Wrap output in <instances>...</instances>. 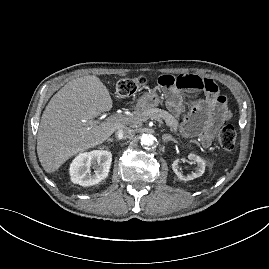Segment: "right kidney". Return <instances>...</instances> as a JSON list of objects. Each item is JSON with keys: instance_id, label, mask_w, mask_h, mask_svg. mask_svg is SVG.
<instances>
[{"instance_id": "obj_1", "label": "right kidney", "mask_w": 269, "mask_h": 269, "mask_svg": "<svg viewBox=\"0 0 269 269\" xmlns=\"http://www.w3.org/2000/svg\"><path fill=\"white\" fill-rule=\"evenodd\" d=\"M111 162L112 154L106 150L81 153L70 165L71 180L81 186L98 184L108 176Z\"/></svg>"}]
</instances>
